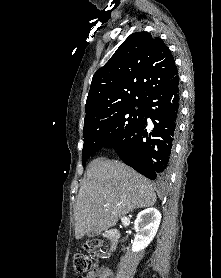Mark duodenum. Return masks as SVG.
<instances>
[{"mask_svg": "<svg viewBox=\"0 0 221 278\" xmlns=\"http://www.w3.org/2000/svg\"><path fill=\"white\" fill-rule=\"evenodd\" d=\"M104 235L106 237H108L112 242V245H111V248H110V254H112L116 249V245H117L118 240H119V233H118L117 230L111 229V230L107 231Z\"/></svg>", "mask_w": 221, "mask_h": 278, "instance_id": "1", "label": "duodenum"}]
</instances>
